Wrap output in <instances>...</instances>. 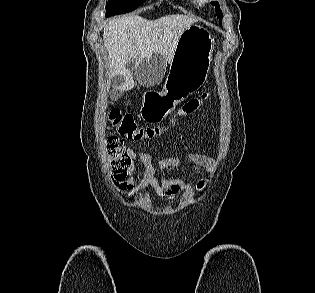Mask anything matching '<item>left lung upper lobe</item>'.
Listing matches in <instances>:
<instances>
[{
  "mask_svg": "<svg viewBox=\"0 0 315 293\" xmlns=\"http://www.w3.org/2000/svg\"><path fill=\"white\" fill-rule=\"evenodd\" d=\"M212 4L215 5V11L217 14V18L219 19V23L221 24L222 23V11L219 7V4H218V2H212Z\"/></svg>",
  "mask_w": 315,
  "mask_h": 293,
  "instance_id": "1",
  "label": "left lung upper lobe"
}]
</instances>
